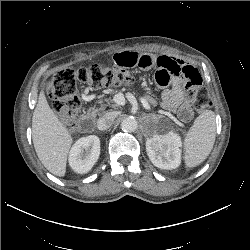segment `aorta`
Returning a JSON list of instances; mask_svg holds the SVG:
<instances>
[{
	"label": "aorta",
	"instance_id": "762f6f07",
	"mask_svg": "<svg viewBox=\"0 0 250 250\" xmlns=\"http://www.w3.org/2000/svg\"><path fill=\"white\" fill-rule=\"evenodd\" d=\"M138 127L137 120L134 117H127L121 122V129L124 132H134Z\"/></svg>",
	"mask_w": 250,
	"mask_h": 250
}]
</instances>
